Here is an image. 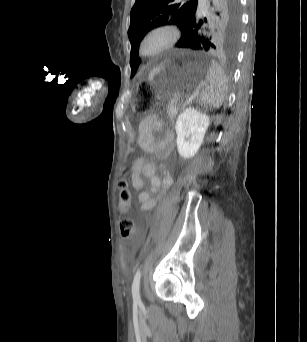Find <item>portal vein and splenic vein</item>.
<instances>
[{
	"instance_id": "portal-vein-and-splenic-vein-1",
	"label": "portal vein and splenic vein",
	"mask_w": 307,
	"mask_h": 342,
	"mask_svg": "<svg viewBox=\"0 0 307 342\" xmlns=\"http://www.w3.org/2000/svg\"><path fill=\"white\" fill-rule=\"evenodd\" d=\"M200 91L201 90L199 88H196V89L194 88L192 90V92L190 93V95H186L185 97L189 98L188 99L189 101L194 102L195 101V96H198ZM183 100L185 101L186 99L184 98ZM189 101H185L182 104L185 105V106H189L190 105Z\"/></svg>"
}]
</instances>
